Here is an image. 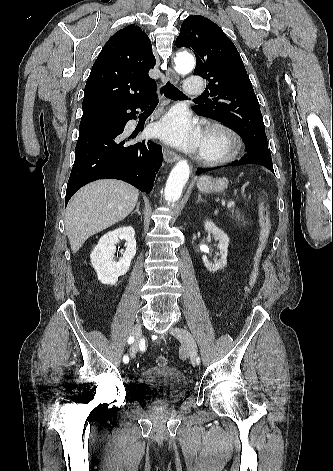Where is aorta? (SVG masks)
I'll return each mask as SVG.
<instances>
[{"label": "aorta", "mask_w": 333, "mask_h": 471, "mask_svg": "<svg viewBox=\"0 0 333 471\" xmlns=\"http://www.w3.org/2000/svg\"><path fill=\"white\" fill-rule=\"evenodd\" d=\"M195 66L194 58L190 55H179L175 59V70L179 74L190 73ZM190 168L186 160H181L173 167L165 187V199L175 203L180 199L183 187L189 179Z\"/></svg>", "instance_id": "obj_1"}]
</instances>
